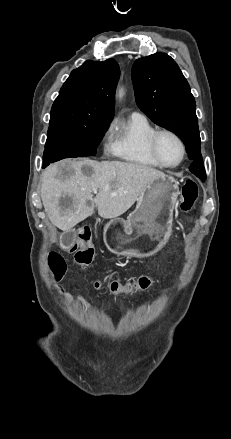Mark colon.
Wrapping results in <instances>:
<instances>
[{
    "label": "colon",
    "instance_id": "1",
    "mask_svg": "<svg viewBox=\"0 0 231 439\" xmlns=\"http://www.w3.org/2000/svg\"><path fill=\"white\" fill-rule=\"evenodd\" d=\"M197 195L198 191L196 184L193 181L188 180L182 188L180 209L184 212L189 211L193 207ZM71 251L74 252L76 263L81 267H86L91 264L94 259L95 251L91 243V230L89 227H84L78 232L75 242L71 246ZM48 264L54 280L60 281L66 271L64 259L60 255L53 253L48 257ZM150 277L151 272L145 271L144 276L138 279L126 283L112 280L107 283V287L112 294H130L147 288L151 283ZM100 285V282H96L97 287Z\"/></svg>",
    "mask_w": 231,
    "mask_h": 439
}]
</instances>
